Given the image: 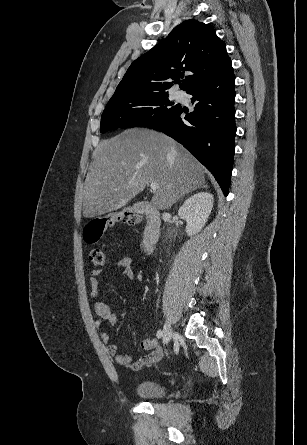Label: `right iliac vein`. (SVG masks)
I'll list each match as a JSON object with an SVG mask.
<instances>
[{"instance_id": "63e3f726", "label": "right iliac vein", "mask_w": 307, "mask_h": 445, "mask_svg": "<svg viewBox=\"0 0 307 445\" xmlns=\"http://www.w3.org/2000/svg\"><path fill=\"white\" fill-rule=\"evenodd\" d=\"M172 334H173V330L171 327V324L169 322H166L164 325V330H163V343L164 344H168L172 338Z\"/></svg>"}]
</instances>
